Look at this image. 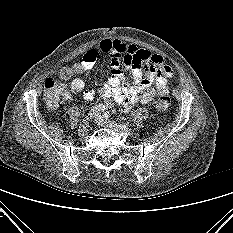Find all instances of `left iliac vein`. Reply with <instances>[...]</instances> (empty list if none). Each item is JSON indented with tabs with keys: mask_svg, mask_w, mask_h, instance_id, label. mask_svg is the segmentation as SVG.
Here are the masks:
<instances>
[{
	"mask_svg": "<svg viewBox=\"0 0 233 233\" xmlns=\"http://www.w3.org/2000/svg\"><path fill=\"white\" fill-rule=\"evenodd\" d=\"M94 118H95V121L103 127L110 128L114 131L125 132L129 135L132 133V131L129 128L116 124L114 122H111L109 120H106L99 113H96L94 115Z\"/></svg>",
	"mask_w": 233,
	"mask_h": 233,
	"instance_id": "4c4485c4",
	"label": "left iliac vein"
}]
</instances>
